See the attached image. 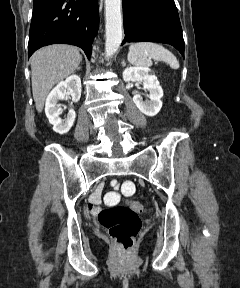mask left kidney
<instances>
[{"mask_svg":"<svg viewBox=\"0 0 240 288\" xmlns=\"http://www.w3.org/2000/svg\"><path fill=\"white\" fill-rule=\"evenodd\" d=\"M123 79L126 82L143 83L144 89L149 91L150 100L143 101L141 95L136 94L133 102L145 115L155 116L162 107L163 90L151 70L148 67H128L123 71Z\"/></svg>","mask_w":240,"mask_h":288,"instance_id":"5707ae66","label":"left kidney"}]
</instances>
